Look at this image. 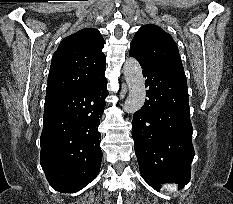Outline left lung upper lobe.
Instances as JSON below:
<instances>
[{"label": "left lung upper lobe", "instance_id": "left-lung-upper-lobe-1", "mask_svg": "<svg viewBox=\"0 0 233 204\" xmlns=\"http://www.w3.org/2000/svg\"><path fill=\"white\" fill-rule=\"evenodd\" d=\"M129 54L153 65L184 74L175 41L159 26H142L131 42Z\"/></svg>", "mask_w": 233, "mask_h": 204}]
</instances>
